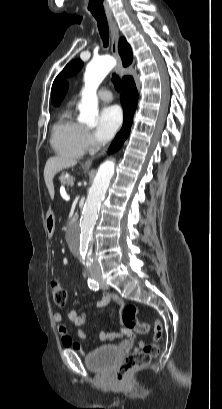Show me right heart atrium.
Segmentation results:
<instances>
[{
    "label": "right heart atrium",
    "instance_id": "1",
    "mask_svg": "<svg viewBox=\"0 0 222 409\" xmlns=\"http://www.w3.org/2000/svg\"><path fill=\"white\" fill-rule=\"evenodd\" d=\"M82 140L87 150H92L95 147V142L93 140V137L91 133L86 129L83 130Z\"/></svg>",
    "mask_w": 222,
    "mask_h": 409
}]
</instances>
